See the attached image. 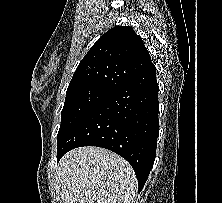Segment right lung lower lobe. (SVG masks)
<instances>
[{"label": "right lung lower lobe", "instance_id": "obj_1", "mask_svg": "<svg viewBox=\"0 0 222 203\" xmlns=\"http://www.w3.org/2000/svg\"><path fill=\"white\" fill-rule=\"evenodd\" d=\"M158 91L156 67L151 64L116 88L58 140L57 160L81 146L109 149L131 164L141 191L156 156Z\"/></svg>", "mask_w": 222, "mask_h": 203}]
</instances>
